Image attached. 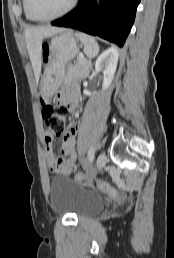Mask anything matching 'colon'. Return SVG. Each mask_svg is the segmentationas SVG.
<instances>
[{"mask_svg":"<svg viewBox=\"0 0 174 258\" xmlns=\"http://www.w3.org/2000/svg\"><path fill=\"white\" fill-rule=\"evenodd\" d=\"M67 115L68 109L65 106L60 105L55 101L43 103L42 116L47 131H49L52 136H60L65 132ZM74 180L81 184L94 182L96 187L109 198L114 200L122 199V195L105 181L92 180L90 176L82 173L75 174Z\"/></svg>","mask_w":174,"mask_h":258,"instance_id":"colon-1","label":"colon"}]
</instances>
